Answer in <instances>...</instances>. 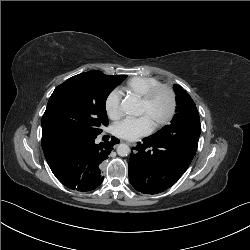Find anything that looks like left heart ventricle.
<instances>
[{
	"instance_id": "b2bd125f",
	"label": "left heart ventricle",
	"mask_w": 250,
	"mask_h": 250,
	"mask_svg": "<svg viewBox=\"0 0 250 250\" xmlns=\"http://www.w3.org/2000/svg\"><path fill=\"white\" fill-rule=\"evenodd\" d=\"M169 110V98L165 92H160L149 105L140 102L139 113L146 115L152 124L162 119Z\"/></svg>"
}]
</instances>
